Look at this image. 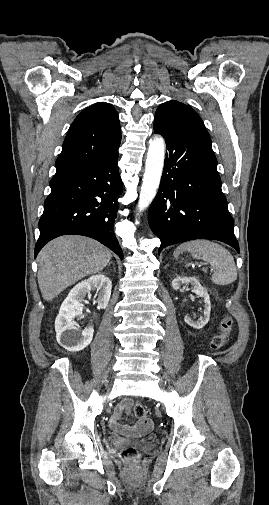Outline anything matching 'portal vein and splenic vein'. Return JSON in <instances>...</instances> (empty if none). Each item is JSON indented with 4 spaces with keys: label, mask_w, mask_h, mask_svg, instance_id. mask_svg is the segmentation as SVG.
Returning <instances> with one entry per match:
<instances>
[{
    "label": "portal vein and splenic vein",
    "mask_w": 269,
    "mask_h": 505,
    "mask_svg": "<svg viewBox=\"0 0 269 505\" xmlns=\"http://www.w3.org/2000/svg\"><path fill=\"white\" fill-rule=\"evenodd\" d=\"M203 265H205V263H201V264H199V265H198V267H201V266H203Z\"/></svg>",
    "instance_id": "obj_1"
}]
</instances>
